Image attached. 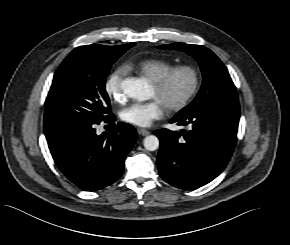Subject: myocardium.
Wrapping results in <instances>:
<instances>
[{"label": "myocardium", "instance_id": "f54148a6", "mask_svg": "<svg viewBox=\"0 0 290 245\" xmlns=\"http://www.w3.org/2000/svg\"><path fill=\"white\" fill-rule=\"evenodd\" d=\"M181 72L189 73L192 77V82L188 91L178 101L166 107V109L170 112H177V111L182 110L196 96L201 85L200 71L196 67L190 66V65L174 66L171 69H169L166 73H164L160 78L153 81V87L158 92H162L168 87L172 78Z\"/></svg>", "mask_w": 290, "mask_h": 245}]
</instances>
